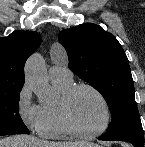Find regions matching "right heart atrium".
Returning a JSON list of instances; mask_svg holds the SVG:
<instances>
[{
	"label": "right heart atrium",
	"instance_id": "obj_1",
	"mask_svg": "<svg viewBox=\"0 0 145 147\" xmlns=\"http://www.w3.org/2000/svg\"><path fill=\"white\" fill-rule=\"evenodd\" d=\"M16 110L22 123L31 131L39 133L42 125V114L40 106L33 102L32 91L28 83L20 88Z\"/></svg>",
	"mask_w": 145,
	"mask_h": 147
}]
</instances>
